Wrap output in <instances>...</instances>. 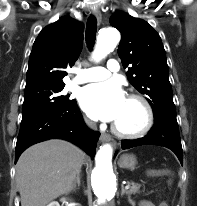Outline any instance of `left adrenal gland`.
<instances>
[{"mask_svg": "<svg viewBox=\"0 0 197 206\" xmlns=\"http://www.w3.org/2000/svg\"><path fill=\"white\" fill-rule=\"evenodd\" d=\"M125 193L128 195V200H129V202H131L130 195H129L128 192L124 189V186L121 185V195H124Z\"/></svg>", "mask_w": 197, "mask_h": 206, "instance_id": "1", "label": "left adrenal gland"}]
</instances>
